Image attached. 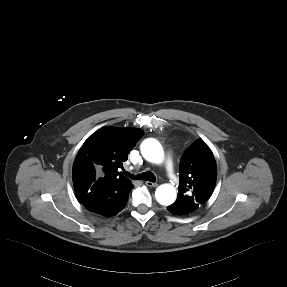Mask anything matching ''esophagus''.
<instances>
[{
  "instance_id": "obj_1",
  "label": "esophagus",
  "mask_w": 287,
  "mask_h": 287,
  "mask_svg": "<svg viewBox=\"0 0 287 287\" xmlns=\"http://www.w3.org/2000/svg\"><path fill=\"white\" fill-rule=\"evenodd\" d=\"M145 185H147L149 187H157L158 186L157 183H153V182H149V181L145 182Z\"/></svg>"
}]
</instances>
